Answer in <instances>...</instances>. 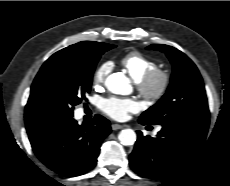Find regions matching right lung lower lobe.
Returning <instances> with one entry per match:
<instances>
[{"mask_svg": "<svg viewBox=\"0 0 230 186\" xmlns=\"http://www.w3.org/2000/svg\"><path fill=\"white\" fill-rule=\"evenodd\" d=\"M26 129L36 156L63 176H78L91 170L103 139L111 132L109 121L100 115L87 127L69 117L44 118L26 125Z\"/></svg>", "mask_w": 230, "mask_h": 186, "instance_id": "98d812e1", "label": "right lung lower lobe"}]
</instances>
